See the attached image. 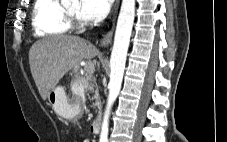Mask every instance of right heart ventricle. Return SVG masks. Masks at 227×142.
I'll return each mask as SVG.
<instances>
[{
  "instance_id": "right-heart-ventricle-1",
  "label": "right heart ventricle",
  "mask_w": 227,
  "mask_h": 142,
  "mask_svg": "<svg viewBox=\"0 0 227 142\" xmlns=\"http://www.w3.org/2000/svg\"><path fill=\"white\" fill-rule=\"evenodd\" d=\"M32 27L38 37L60 36L70 32L60 0H35Z\"/></svg>"
}]
</instances>
